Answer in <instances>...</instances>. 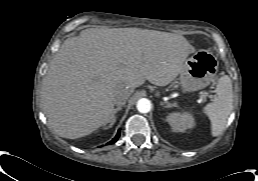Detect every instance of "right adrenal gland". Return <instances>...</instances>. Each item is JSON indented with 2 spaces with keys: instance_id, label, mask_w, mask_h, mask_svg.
<instances>
[{
  "instance_id": "right-adrenal-gland-1",
  "label": "right adrenal gland",
  "mask_w": 258,
  "mask_h": 181,
  "mask_svg": "<svg viewBox=\"0 0 258 181\" xmlns=\"http://www.w3.org/2000/svg\"><path fill=\"white\" fill-rule=\"evenodd\" d=\"M121 109H122L121 107H117V108L114 110V114H113V116H112V119L110 120V124H109L105 129L111 128V127L114 125V123H115V121H116V113H117L118 111H120Z\"/></svg>"
}]
</instances>
